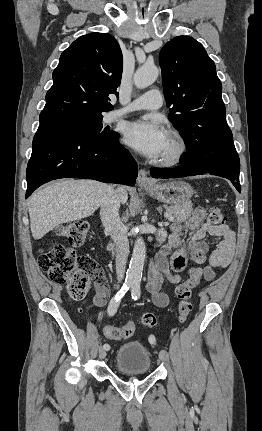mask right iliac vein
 <instances>
[{"instance_id":"right-iliac-vein-1","label":"right iliac vein","mask_w":262,"mask_h":431,"mask_svg":"<svg viewBox=\"0 0 262 431\" xmlns=\"http://www.w3.org/2000/svg\"><path fill=\"white\" fill-rule=\"evenodd\" d=\"M99 357L104 359L106 357V350L103 347L99 348Z\"/></svg>"}]
</instances>
